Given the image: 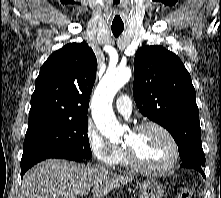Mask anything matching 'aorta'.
I'll list each match as a JSON object with an SVG mask.
<instances>
[{
    "instance_id": "1",
    "label": "aorta",
    "mask_w": 221,
    "mask_h": 198,
    "mask_svg": "<svg viewBox=\"0 0 221 198\" xmlns=\"http://www.w3.org/2000/svg\"><path fill=\"white\" fill-rule=\"evenodd\" d=\"M129 68L108 70L99 82L91 101L93 120L103 136L118 141L124 135V128L116 119L112 102L115 94L131 78Z\"/></svg>"
}]
</instances>
